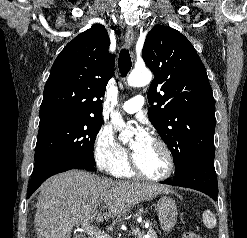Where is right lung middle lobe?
I'll return each instance as SVG.
<instances>
[{
  "mask_svg": "<svg viewBox=\"0 0 247 238\" xmlns=\"http://www.w3.org/2000/svg\"><path fill=\"white\" fill-rule=\"evenodd\" d=\"M101 124L102 118L91 117L39 124L32 177L56 163L95 170L93 149Z\"/></svg>",
  "mask_w": 247,
  "mask_h": 238,
  "instance_id": "1",
  "label": "right lung middle lobe"
}]
</instances>
